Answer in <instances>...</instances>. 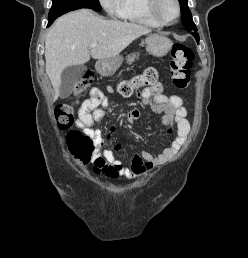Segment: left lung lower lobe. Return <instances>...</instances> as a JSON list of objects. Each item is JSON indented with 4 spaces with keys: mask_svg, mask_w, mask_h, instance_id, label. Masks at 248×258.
<instances>
[{
    "mask_svg": "<svg viewBox=\"0 0 248 258\" xmlns=\"http://www.w3.org/2000/svg\"><path fill=\"white\" fill-rule=\"evenodd\" d=\"M192 34L195 37L196 41L199 42V35H198V33L194 32Z\"/></svg>",
    "mask_w": 248,
    "mask_h": 258,
    "instance_id": "left-lung-lower-lobe-1",
    "label": "left lung lower lobe"
}]
</instances>
